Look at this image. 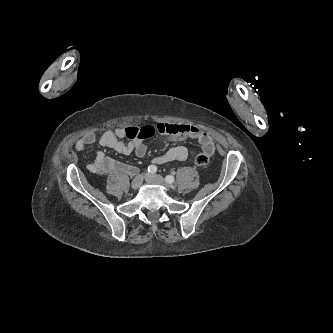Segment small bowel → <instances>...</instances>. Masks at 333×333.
Here are the masks:
<instances>
[{
  "mask_svg": "<svg viewBox=\"0 0 333 333\" xmlns=\"http://www.w3.org/2000/svg\"><path fill=\"white\" fill-rule=\"evenodd\" d=\"M156 134L170 140H183L187 138L195 139L201 144L202 153L206 154L208 157L212 156L215 152L213 139L208 133L197 126L180 123L161 122L154 126H131L117 129L115 131H106L100 136L98 141L101 146L113 149L120 154H134L137 157H144L147 153V147L144 144L143 139L153 137ZM125 138H128L129 140L124 142L123 139ZM96 141V135L94 133H88L76 142L75 148L78 151H83L88 146L93 145ZM188 155L189 152L186 147L177 145L171 147L162 155L155 157L153 162L155 164H165L171 161H182L185 160ZM116 168H121L126 172L132 171L131 167L109 160L105 154L100 151L96 155L91 170L92 172L100 173L101 171L110 172Z\"/></svg>",
  "mask_w": 333,
  "mask_h": 333,
  "instance_id": "obj_1",
  "label": "small bowel"
}]
</instances>
